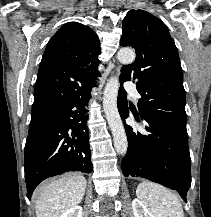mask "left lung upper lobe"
<instances>
[{
    "label": "left lung upper lobe",
    "mask_w": 211,
    "mask_h": 217,
    "mask_svg": "<svg viewBox=\"0 0 211 217\" xmlns=\"http://www.w3.org/2000/svg\"><path fill=\"white\" fill-rule=\"evenodd\" d=\"M120 45L136 50L135 62L122 67L120 81L137 80L140 114L186 127L183 71L166 25L147 11L131 10L123 19Z\"/></svg>",
    "instance_id": "5c2ea615"
}]
</instances>
